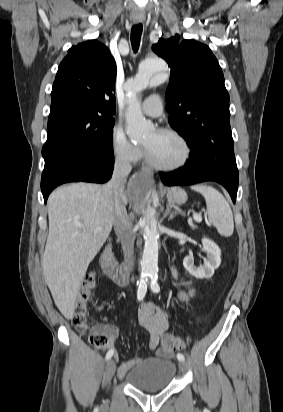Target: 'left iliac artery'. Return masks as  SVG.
<instances>
[{
	"label": "left iliac artery",
	"instance_id": "obj_1",
	"mask_svg": "<svg viewBox=\"0 0 283 412\" xmlns=\"http://www.w3.org/2000/svg\"><path fill=\"white\" fill-rule=\"evenodd\" d=\"M150 278H151L150 286H151L152 291L155 292V293H158L160 291V287H159V284L157 283V275L156 274H151ZM177 359L179 361H184L185 357H184L183 354L178 353L177 354Z\"/></svg>",
	"mask_w": 283,
	"mask_h": 412
}]
</instances>
